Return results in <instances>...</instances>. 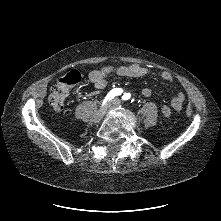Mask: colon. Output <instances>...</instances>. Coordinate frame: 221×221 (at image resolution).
I'll list each match as a JSON object with an SVG mask.
<instances>
[{"label": "colon", "mask_w": 221, "mask_h": 221, "mask_svg": "<svg viewBox=\"0 0 221 221\" xmlns=\"http://www.w3.org/2000/svg\"><path fill=\"white\" fill-rule=\"evenodd\" d=\"M80 74L73 70L66 75L60 77L57 83L52 87L49 95V104L55 111H61L64 108V103L69 95L70 88L80 81ZM174 109L169 106L162 107V113L166 117H171Z\"/></svg>", "instance_id": "1"}]
</instances>
